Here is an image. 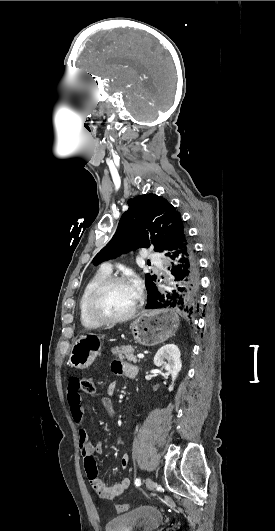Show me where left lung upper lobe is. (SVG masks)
<instances>
[{
  "instance_id": "left-lung-upper-lobe-1",
  "label": "left lung upper lobe",
  "mask_w": 275,
  "mask_h": 531,
  "mask_svg": "<svg viewBox=\"0 0 275 531\" xmlns=\"http://www.w3.org/2000/svg\"><path fill=\"white\" fill-rule=\"evenodd\" d=\"M129 209L119 220L110 242L93 258L92 263L113 259L139 247L154 245L157 252H166L177 229L183 225L181 215L164 198L155 194L137 196L128 201ZM155 275H145L150 301L158 291Z\"/></svg>"
}]
</instances>
